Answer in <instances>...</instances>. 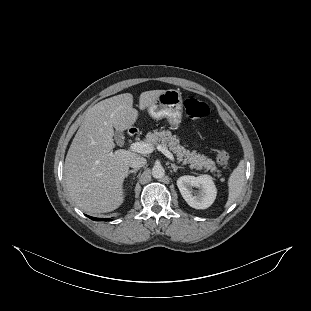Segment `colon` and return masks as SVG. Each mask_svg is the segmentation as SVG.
<instances>
[{
	"label": "colon",
	"mask_w": 311,
	"mask_h": 311,
	"mask_svg": "<svg viewBox=\"0 0 311 311\" xmlns=\"http://www.w3.org/2000/svg\"><path fill=\"white\" fill-rule=\"evenodd\" d=\"M184 108L186 116L194 121L205 119L209 114V107L203 101L193 96H188L184 100ZM216 158L218 163L223 167L229 166L230 157L227 151L224 149L216 150Z\"/></svg>",
	"instance_id": "5ec220e1"
}]
</instances>
